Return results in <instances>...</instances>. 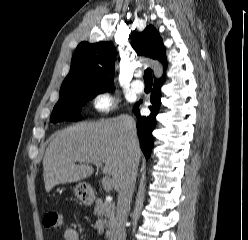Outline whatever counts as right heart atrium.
Wrapping results in <instances>:
<instances>
[{"mask_svg":"<svg viewBox=\"0 0 248 240\" xmlns=\"http://www.w3.org/2000/svg\"><path fill=\"white\" fill-rule=\"evenodd\" d=\"M91 107L97 113H107L113 108V99L110 93L100 91L95 93L91 98Z\"/></svg>","mask_w":248,"mask_h":240,"instance_id":"d8ad5b80","label":"right heart atrium"}]
</instances>
